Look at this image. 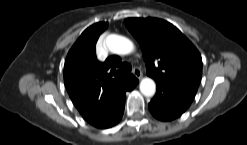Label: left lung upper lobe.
Instances as JSON below:
<instances>
[{"label":"left lung upper lobe","instance_id":"5c2ea615","mask_svg":"<svg viewBox=\"0 0 247 145\" xmlns=\"http://www.w3.org/2000/svg\"><path fill=\"white\" fill-rule=\"evenodd\" d=\"M125 25L139 42L147 75L195 96L201 76L202 58L179 29L157 18H127Z\"/></svg>","mask_w":247,"mask_h":145}]
</instances>
